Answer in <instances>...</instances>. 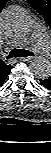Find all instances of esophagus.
<instances>
[{
    "instance_id": "esophagus-1",
    "label": "esophagus",
    "mask_w": 51,
    "mask_h": 153,
    "mask_svg": "<svg viewBox=\"0 0 51 153\" xmlns=\"http://www.w3.org/2000/svg\"><path fill=\"white\" fill-rule=\"evenodd\" d=\"M33 57L29 56V57H21L20 60L21 61H30Z\"/></svg>"
}]
</instances>
